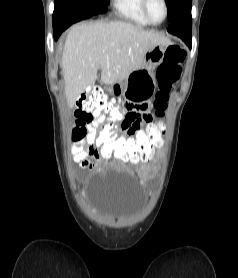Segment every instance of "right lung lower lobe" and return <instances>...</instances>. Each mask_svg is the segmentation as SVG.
Returning <instances> with one entry per match:
<instances>
[{
	"instance_id": "98d812e1",
	"label": "right lung lower lobe",
	"mask_w": 238,
	"mask_h": 278,
	"mask_svg": "<svg viewBox=\"0 0 238 278\" xmlns=\"http://www.w3.org/2000/svg\"><path fill=\"white\" fill-rule=\"evenodd\" d=\"M91 16L93 15L90 12L75 3H56L53 12L54 39L57 40L61 33L71 24Z\"/></svg>"
}]
</instances>
